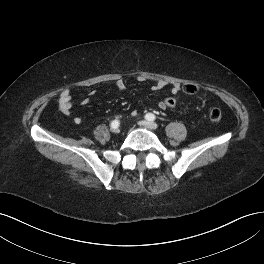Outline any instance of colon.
<instances>
[{"mask_svg":"<svg viewBox=\"0 0 264 264\" xmlns=\"http://www.w3.org/2000/svg\"><path fill=\"white\" fill-rule=\"evenodd\" d=\"M182 90L184 93L193 95L197 93L198 87L194 83H185L182 86ZM165 109H175L177 107V101L172 97H167L164 100L161 101ZM222 114L221 111L218 108H212L209 112V118L214 121L218 122L221 120Z\"/></svg>","mask_w":264,"mask_h":264,"instance_id":"obj_1","label":"colon"}]
</instances>
